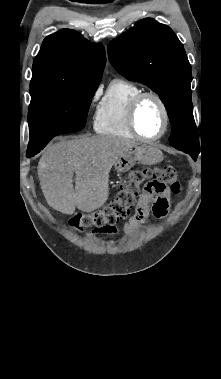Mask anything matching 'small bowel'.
<instances>
[{
  "label": "small bowel",
  "mask_w": 221,
  "mask_h": 379,
  "mask_svg": "<svg viewBox=\"0 0 221 379\" xmlns=\"http://www.w3.org/2000/svg\"><path fill=\"white\" fill-rule=\"evenodd\" d=\"M169 195L172 192L165 191L163 193L155 192H145L140 198L136 212L133 217H131L124 224V231L128 236H133L136 232L143 228V223L148 217L149 204L153 201L152 211L156 219H162L166 215L169 207ZM116 228L107 230L104 233L114 234L116 233Z\"/></svg>",
  "instance_id": "c3829d8e"
}]
</instances>
